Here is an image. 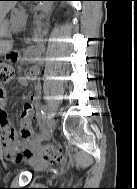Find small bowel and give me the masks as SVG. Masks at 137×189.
Segmentation results:
<instances>
[{"label": "small bowel", "mask_w": 137, "mask_h": 189, "mask_svg": "<svg viewBox=\"0 0 137 189\" xmlns=\"http://www.w3.org/2000/svg\"><path fill=\"white\" fill-rule=\"evenodd\" d=\"M39 67L33 66L26 76H19L18 82L25 85L28 81H35L39 75ZM39 100V88L30 95L28 101L21 110V129L18 132L8 118L6 104L8 102V94L5 89H0V141L2 143L4 155L13 162L19 163L23 160H39V156L32 149L36 142V134L32 126L34 105Z\"/></svg>", "instance_id": "c3829d8e"}]
</instances>
